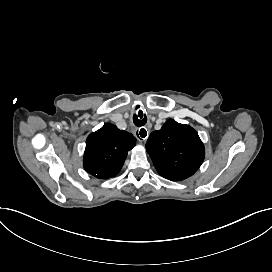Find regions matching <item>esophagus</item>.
Here are the masks:
<instances>
[{"mask_svg": "<svg viewBox=\"0 0 272 272\" xmlns=\"http://www.w3.org/2000/svg\"><path fill=\"white\" fill-rule=\"evenodd\" d=\"M138 134H139V135H138V140L141 141V142H143V141L146 139V138H145L146 136H145V137H142V136H141V134H142L141 131H138Z\"/></svg>", "mask_w": 272, "mask_h": 272, "instance_id": "1", "label": "esophagus"}]
</instances>
